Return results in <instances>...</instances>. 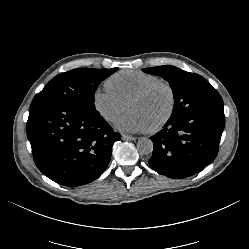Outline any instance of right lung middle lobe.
<instances>
[{"mask_svg": "<svg viewBox=\"0 0 249 249\" xmlns=\"http://www.w3.org/2000/svg\"><path fill=\"white\" fill-rule=\"evenodd\" d=\"M118 68H78L61 73L51 79L33 99L30 109L47 104L66 103L84 109L96 110L94 94L102 80Z\"/></svg>", "mask_w": 249, "mask_h": 249, "instance_id": "1", "label": "right lung middle lobe"}]
</instances>
